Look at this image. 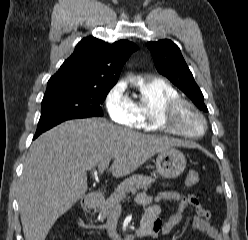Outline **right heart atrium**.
Listing matches in <instances>:
<instances>
[{
	"mask_svg": "<svg viewBox=\"0 0 248 240\" xmlns=\"http://www.w3.org/2000/svg\"><path fill=\"white\" fill-rule=\"evenodd\" d=\"M104 105L110 119L118 124L134 128L137 118L132 100L126 93L125 84H114L105 95Z\"/></svg>",
	"mask_w": 248,
	"mask_h": 240,
	"instance_id": "right-heart-atrium-1",
	"label": "right heart atrium"
}]
</instances>
